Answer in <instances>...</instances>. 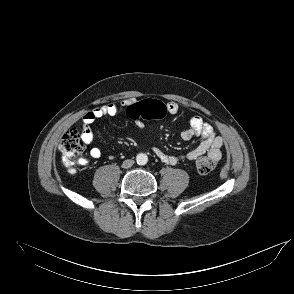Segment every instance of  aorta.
I'll list each match as a JSON object with an SVG mask.
<instances>
[{"label": "aorta", "mask_w": 294, "mask_h": 294, "mask_svg": "<svg viewBox=\"0 0 294 294\" xmlns=\"http://www.w3.org/2000/svg\"><path fill=\"white\" fill-rule=\"evenodd\" d=\"M136 162L139 165H145L148 162V156L145 153H139L136 156Z\"/></svg>", "instance_id": "1"}]
</instances>
